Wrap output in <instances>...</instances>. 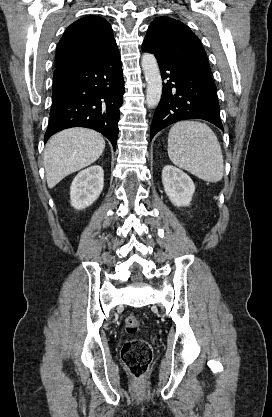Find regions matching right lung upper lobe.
<instances>
[{
  "label": "right lung upper lobe",
  "mask_w": 272,
  "mask_h": 417,
  "mask_svg": "<svg viewBox=\"0 0 272 417\" xmlns=\"http://www.w3.org/2000/svg\"><path fill=\"white\" fill-rule=\"evenodd\" d=\"M116 41L110 24L102 17L89 16L75 21L60 39L55 67L88 65L105 56Z\"/></svg>",
  "instance_id": "1"
}]
</instances>
